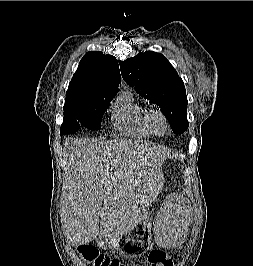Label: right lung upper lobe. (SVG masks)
Instances as JSON below:
<instances>
[{"label":"right lung upper lobe","mask_w":253,"mask_h":266,"mask_svg":"<svg viewBox=\"0 0 253 266\" xmlns=\"http://www.w3.org/2000/svg\"><path fill=\"white\" fill-rule=\"evenodd\" d=\"M120 80L119 65L114 56L90 51L81 59L69 84L65 104L115 96Z\"/></svg>","instance_id":"right-lung-upper-lobe-1"}]
</instances>
